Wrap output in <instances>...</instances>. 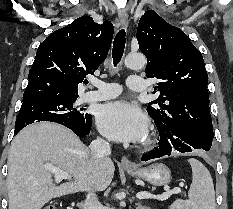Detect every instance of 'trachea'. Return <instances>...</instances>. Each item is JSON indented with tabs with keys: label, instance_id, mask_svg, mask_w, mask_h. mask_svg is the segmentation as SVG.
<instances>
[{
	"label": "trachea",
	"instance_id": "obj_1",
	"mask_svg": "<svg viewBox=\"0 0 233 209\" xmlns=\"http://www.w3.org/2000/svg\"><path fill=\"white\" fill-rule=\"evenodd\" d=\"M126 32L125 30H120L113 42V49H112V58H113V63L116 66L124 53V48H125V43H126Z\"/></svg>",
	"mask_w": 233,
	"mask_h": 209
}]
</instances>
